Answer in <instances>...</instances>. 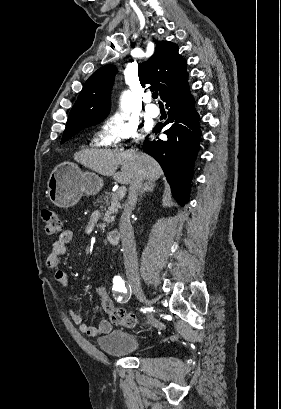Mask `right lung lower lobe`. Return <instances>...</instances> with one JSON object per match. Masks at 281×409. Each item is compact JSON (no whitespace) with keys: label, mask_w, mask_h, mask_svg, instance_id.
I'll return each mask as SVG.
<instances>
[{"label":"right lung lower lobe","mask_w":281,"mask_h":409,"mask_svg":"<svg viewBox=\"0 0 281 409\" xmlns=\"http://www.w3.org/2000/svg\"><path fill=\"white\" fill-rule=\"evenodd\" d=\"M165 102L169 118L164 124L158 123L154 131L160 132L170 124L163 132L167 140L148 141L146 138L143 148L160 163L174 198L183 206L189 200L192 165L201 134L199 116L193 109L195 102L189 94L186 78Z\"/></svg>","instance_id":"right-lung-lower-lobe-1"}]
</instances>
